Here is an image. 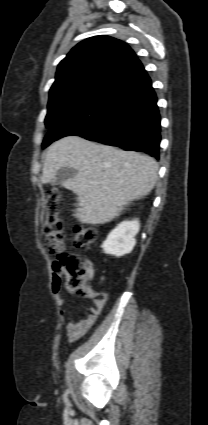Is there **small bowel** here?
<instances>
[{"instance_id":"1","label":"small bowel","mask_w":208,"mask_h":425,"mask_svg":"<svg viewBox=\"0 0 208 425\" xmlns=\"http://www.w3.org/2000/svg\"><path fill=\"white\" fill-rule=\"evenodd\" d=\"M92 276V269H89L88 278ZM59 277L54 275L53 290L55 294L56 303L59 307V317L66 328L68 338L74 342L85 334L94 326L98 316L101 314L103 308L108 301V294L106 292H98L92 289L90 286L86 287L85 296L93 301L94 306L89 309L88 315L77 322L66 321V310L64 308L65 300L59 290Z\"/></svg>"}]
</instances>
